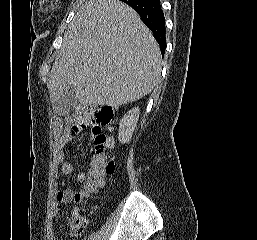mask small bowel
<instances>
[{
    "mask_svg": "<svg viewBox=\"0 0 257 240\" xmlns=\"http://www.w3.org/2000/svg\"><path fill=\"white\" fill-rule=\"evenodd\" d=\"M84 130V127L79 124L70 123L63 129L57 132L55 140V173L56 176L61 175H71L73 173V165L71 162L65 159V147L76 137H78ZM107 147L109 149L114 148V141L109 139L107 142ZM76 179L78 182L83 183L86 180V174L80 172L77 174ZM75 194V190L68 188L65 190H57L55 201L53 202L50 209L51 221L54 220L59 213V204L69 203ZM72 233H77L76 230H72ZM47 240H64V238L56 235L52 228L49 229Z\"/></svg>",
    "mask_w": 257,
    "mask_h": 240,
    "instance_id": "obj_1",
    "label": "small bowel"
}]
</instances>
